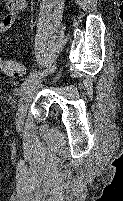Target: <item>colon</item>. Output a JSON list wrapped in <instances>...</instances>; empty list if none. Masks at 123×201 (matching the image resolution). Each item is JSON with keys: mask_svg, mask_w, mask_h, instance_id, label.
Returning <instances> with one entry per match:
<instances>
[{"mask_svg": "<svg viewBox=\"0 0 123 201\" xmlns=\"http://www.w3.org/2000/svg\"><path fill=\"white\" fill-rule=\"evenodd\" d=\"M0 69L4 74L9 76H19L23 72L21 63L16 60L0 59Z\"/></svg>", "mask_w": 123, "mask_h": 201, "instance_id": "1", "label": "colon"}]
</instances>
